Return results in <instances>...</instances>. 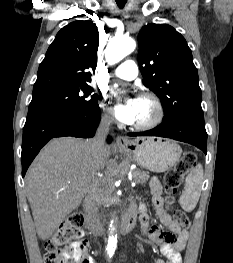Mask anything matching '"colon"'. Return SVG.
<instances>
[{
	"instance_id": "colon-1",
	"label": "colon",
	"mask_w": 233,
	"mask_h": 263,
	"mask_svg": "<svg viewBox=\"0 0 233 263\" xmlns=\"http://www.w3.org/2000/svg\"><path fill=\"white\" fill-rule=\"evenodd\" d=\"M195 161V154L186 152L177 165L165 175L164 189L168 204H173L174 194ZM172 218L181 228H189L190 219L184 211L172 207ZM82 224L83 215L74 212L59 225L55 233L44 244V263H88V243L82 238Z\"/></svg>"
}]
</instances>
